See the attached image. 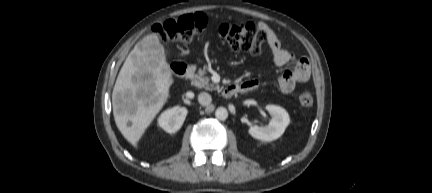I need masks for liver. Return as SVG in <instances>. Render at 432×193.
<instances>
[{"label":"liver","instance_id":"6515ba94","mask_svg":"<svg viewBox=\"0 0 432 193\" xmlns=\"http://www.w3.org/2000/svg\"><path fill=\"white\" fill-rule=\"evenodd\" d=\"M172 83L171 68L158 36H145L126 58L112 93L115 123L132 145L166 103Z\"/></svg>","mask_w":432,"mask_h":193}]
</instances>
